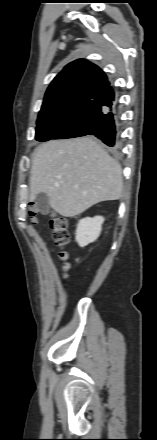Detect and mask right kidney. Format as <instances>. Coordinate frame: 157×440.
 Listing matches in <instances>:
<instances>
[{
    "instance_id": "obj_1",
    "label": "right kidney",
    "mask_w": 157,
    "mask_h": 440,
    "mask_svg": "<svg viewBox=\"0 0 157 440\" xmlns=\"http://www.w3.org/2000/svg\"><path fill=\"white\" fill-rule=\"evenodd\" d=\"M104 218L95 216L83 218L79 221L76 229L75 239L80 247L96 241L101 233Z\"/></svg>"
}]
</instances>
